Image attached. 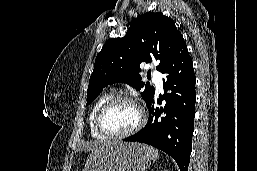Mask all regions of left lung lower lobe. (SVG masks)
Instances as JSON below:
<instances>
[{
    "label": "left lung lower lobe",
    "mask_w": 257,
    "mask_h": 171,
    "mask_svg": "<svg viewBox=\"0 0 257 171\" xmlns=\"http://www.w3.org/2000/svg\"><path fill=\"white\" fill-rule=\"evenodd\" d=\"M166 75L164 107L154 105V95L148 101L149 120L137 134L124 141L152 145L173 157L180 171H188L195 116V74L187 47L172 53L160 71Z\"/></svg>",
    "instance_id": "0a47b994"
}]
</instances>
